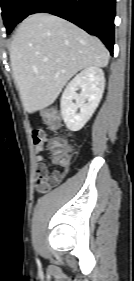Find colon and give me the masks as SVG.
Masks as SVG:
<instances>
[{
    "mask_svg": "<svg viewBox=\"0 0 134 281\" xmlns=\"http://www.w3.org/2000/svg\"><path fill=\"white\" fill-rule=\"evenodd\" d=\"M46 123L53 129H58L60 126V117L54 109H46L43 113ZM49 149L52 158L58 164L66 167L69 163L70 146L62 137H55L49 142Z\"/></svg>",
    "mask_w": 134,
    "mask_h": 281,
    "instance_id": "1",
    "label": "colon"
}]
</instances>
